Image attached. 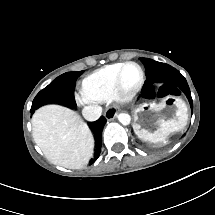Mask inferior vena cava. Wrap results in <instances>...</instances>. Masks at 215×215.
<instances>
[{"label":"inferior vena cava","mask_w":215,"mask_h":215,"mask_svg":"<svg viewBox=\"0 0 215 215\" xmlns=\"http://www.w3.org/2000/svg\"><path fill=\"white\" fill-rule=\"evenodd\" d=\"M82 114L88 121H96L102 115V107L96 104L84 106Z\"/></svg>","instance_id":"inferior-vena-cava-1"}]
</instances>
